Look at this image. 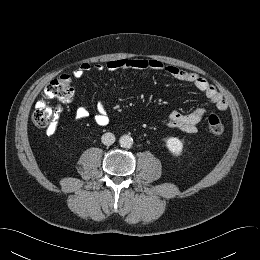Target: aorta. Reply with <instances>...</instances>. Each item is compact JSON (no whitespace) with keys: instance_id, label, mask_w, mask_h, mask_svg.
<instances>
[{"instance_id":"1","label":"aorta","mask_w":260,"mask_h":260,"mask_svg":"<svg viewBox=\"0 0 260 260\" xmlns=\"http://www.w3.org/2000/svg\"><path fill=\"white\" fill-rule=\"evenodd\" d=\"M120 146L130 148L133 145V138L130 135H123L119 139Z\"/></svg>"}]
</instances>
